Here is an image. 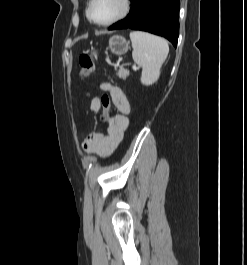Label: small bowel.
Segmentation results:
<instances>
[{
	"label": "small bowel",
	"instance_id": "1",
	"mask_svg": "<svg viewBox=\"0 0 247 265\" xmlns=\"http://www.w3.org/2000/svg\"><path fill=\"white\" fill-rule=\"evenodd\" d=\"M100 88L103 91L109 92L117 113L109 118L106 133L102 130L91 133L85 139L83 148L90 154L106 157L119 145L128 128L130 103L125 93L119 87L105 82L100 85ZM105 97L107 96L92 98L88 105L89 112H98L103 107V99Z\"/></svg>",
	"mask_w": 247,
	"mask_h": 265
}]
</instances>
